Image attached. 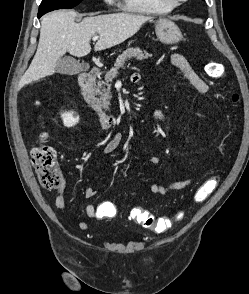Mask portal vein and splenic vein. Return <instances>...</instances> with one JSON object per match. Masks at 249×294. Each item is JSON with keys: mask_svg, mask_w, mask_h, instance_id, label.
<instances>
[{"mask_svg": "<svg viewBox=\"0 0 249 294\" xmlns=\"http://www.w3.org/2000/svg\"><path fill=\"white\" fill-rule=\"evenodd\" d=\"M98 38H99V36L94 35V36H93V41H96Z\"/></svg>", "mask_w": 249, "mask_h": 294, "instance_id": "portal-vein-and-splenic-vein-1", "label": "portal vein and splenic vein"}]
</instances>
